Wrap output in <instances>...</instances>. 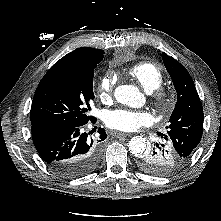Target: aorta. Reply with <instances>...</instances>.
Listing matches in <instances>:
<instances>
[{"instance_id":"aorta-1","label":"aorta","mask_w":221,"mask_h":221,"mask_svg":"<svg viewBox=\"0 0 221 221\" xmlns=\"http://www.w3.org/2000/svg\"><path fill=\"white\" fill-rule=\"evenodd\" d=\"M115 99L124 105L138 107L143 101L139 89L132 85H120L114 91ZM129 151L136 157H142L150 149L147 140L141 136L133 137L128 143Z\"/></svg>"}]
</instances>
